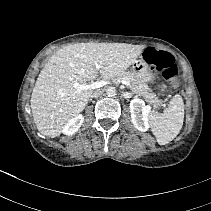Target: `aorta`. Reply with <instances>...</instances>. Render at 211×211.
Wrapping results in <instances>:
<instances>
[{
    "mask_svg": "<svg viewBox=\"0 0 211 211\" xmlns=\"http://www.w3.org/2000/svg\"><path fill=\"white\" fill-rule=\"evenodd\" d=\"M106 94L107 96L109 97H114L116 96V89L114 87H109L107 90H106Z\"/></svg>",
    "mask_w": 211,
    "mask_h": 211,
    "instance_id": "aorta-1",
    "label": "aorta"
}]
</instances>
